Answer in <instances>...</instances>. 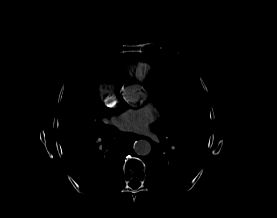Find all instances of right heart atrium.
Segmentation results:
<instances>
[{
	"mask_svg": "<svg viewBox=\"0 0 277 218\" xmlns=\"http://www.w3.org/2000/svg\"><path fill=\"white\" fill-rule=\"evenodd\" d=\"M99 91L107 104H115L120 97L119 86L109 77L102 78L99 86Z\"/></svg>",
	"mask_w": 277,
	"mask_h": 218,
	"instance_id": "right-heart-atrium-1",
	"label": "right heart atrium"
}]
</instances>
